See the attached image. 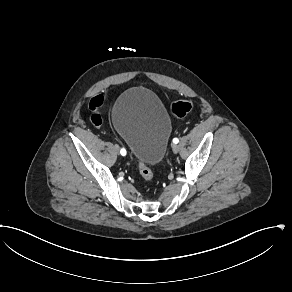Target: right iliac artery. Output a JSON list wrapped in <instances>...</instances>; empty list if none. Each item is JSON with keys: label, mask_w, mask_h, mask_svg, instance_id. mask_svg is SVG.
Segmentation results:
<instances>
[{"label": "right iliac artery", "mask_w": 292, "mask_h": 292, "mask_svg": "<svg viewBox=\"0 0 292 292\" xmlns=\"http://www.w3.org/2000/svg\"><path fill=\"white\" fill-rule=\"evenodd\" d=\"M120 153H121L122 156H125L126 155V150L124 148H122Z\"/></svg>", "instance_id": "82829eb1"}]
</instances>
